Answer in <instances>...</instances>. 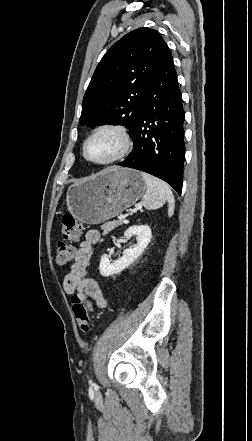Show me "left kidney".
Segmentation results:
<instances>
[{
    "mask_svg": "<svg viewBox=\"0 0 252 441\" xmlns=\"http://www.w3.org/2000/svg\"><path fill=\"white\" fill-rule=\"evenodd\" d=\"M137 236L136 244L133 247L127 248L123 252V256L111 263L110 256L104 254L100 260V273L104 277H108L114 274L122 272L125 268L130 266L134 260H136L148 246L152 238V231L148 225H134L129 227L124 236L130 238Z\"/></svg>",
    "mask_w": 252,
    "mask_h": 441,
    "instance_id": "obj_1",
    "label": "left kidney"
}]
</instances>
